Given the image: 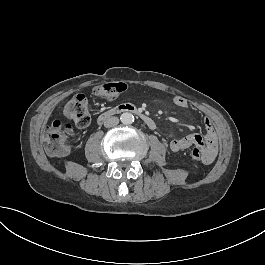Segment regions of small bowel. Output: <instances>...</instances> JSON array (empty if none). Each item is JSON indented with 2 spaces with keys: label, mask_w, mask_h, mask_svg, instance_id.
Masks as SVG:
<instances>
[{
  "label": "small bowel",
  "mask_w": 265,
  "mask_h": 265,
  "mask_svg": "<svg viewBox=\"0 0 265 265\" xmlns=\"http://www.w3.org/2000/svg\"><path fill=\"white\" fill-rule=\"evenodd\" d=\"M173 103L180 109H186L189 107V102L186 98L182 96H175L173 98ZM203 126L205 129V141L207 148L209 150V157L204 162L205 164H211L217 155V142L215 132L213 130L212 122L209 118L205 117L203 119ZM202 137L198 134H191L181 138L172 139L169 143V147L172 151L178 152L197 144Z\"/></svg>",
  "instance_id": "obj_1"
}]
</instances>
